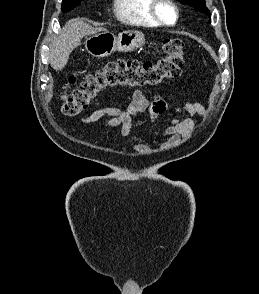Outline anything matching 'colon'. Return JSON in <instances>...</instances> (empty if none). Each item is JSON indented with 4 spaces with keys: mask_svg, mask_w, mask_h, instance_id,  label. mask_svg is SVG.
Listing matches in <instances>:
<instances>
[{
    "mask_svg": "<svg viewBox=\"0 0 259 294\" xmlns=\"http://www.w3.org/2000/svg\"><path fill=\"white\" fill-rule=\"evenodd\" d=\"M162 48L164 56L156 62L123 59L88 73L76 89L61 96V111L66 116H75L87 109L91 101L107 88L155 86L178 77L184 65V41L165 39ZM75 83L76 76H70L66 89Z\"/></svg>",
    "mask_w": 259,
    "mask_h": 294,
    "instance_id": "5ec220e1",
    "label": "colon"
}]
</instances>
